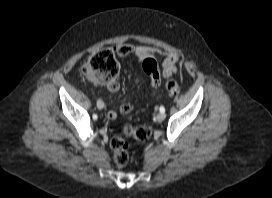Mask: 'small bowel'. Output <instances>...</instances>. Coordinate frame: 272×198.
<instances>
[{"label":"small bowel","instance_id":"c3829d8e","mask_svg":"<svg viewBox=\"0 0 272 198\" xmlns=\"http://www.w3.org/2000/svg\"><path fill=\"white\" fill-rule=\"evenodd\" d=\"M117 53L119 56L123 57L128 54H134L138 61H142L146 58L154 57L156 54H161L163 56L161 62V70L158 69L156 73H152L149 75L151 79V87L152 90L155 91L159 88L161 83V78H167L177 73V64L179 62V56L175 53L161 51L159 49L148 47V46H131L128 44H123L117 47ZM107 89L110 92H117L120 89V84L117 80H113L112 82L106 85ZM104 107V103L102 101L97 102V106ZM133 103L124 102L120 106V112L122 114H128L133 110ZM118 116L116 111H109L107 113V118L109 120H114Z\"/></svg>","mask_w":272,"mask_h":198}]
</instances>
